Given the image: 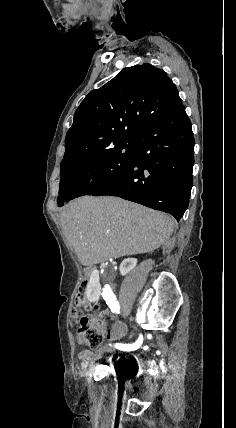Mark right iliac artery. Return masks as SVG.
Listing matches in <instances>:
<instances>
[{
	"mask_svg": "<svg viewBox=\"0 0 236 428\" xmlns=\"http://www.w3.org/2000/svg\"><path fill=\"white\" fill-rule=\"evenodd\" d=\"M103 299L106 301V304L110 307L111 312L113 313H120V306L119 302L116 299V296L113 292H103L102 293ZM143 343V336L140 335L138 340L133 344H121L116 343L114 346L115 348L122 350V351H134L138 349Z\"/></svg>",
	"mask_w": 236,
	"mask_h": 428,
	"instance_id": "82829eb1",
	"label": "right iliac artery"
}]
</instances>
